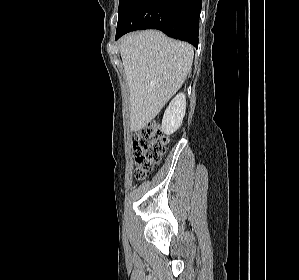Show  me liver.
<instances>
[{
	"instance_id": "1",
	"label": "liver",
	"mask_w": 299,
	"mask_h": 280,
	"mask_svg": "<svg viewBox=\"0 0 299 280\" xmlns=\"http://www.w3.org/2000/svg\"><path fill=\"white\" fill-rule=\"evenodd\" d=\"M130 92V127L150 123L183 85L193 62V47L160 31L125 35L120 42Z\"/></svg>"
}]
</instances>
